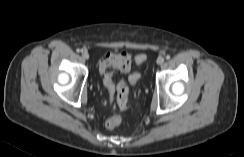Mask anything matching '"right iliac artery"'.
<instances>
[{"mask_svg":"<svg viewBox=\"0 0 244 157\" xmlns=\"http://www.w3.org/2000/svg\"><path fill=\"white\" fill-rule=\"evenodd\" d=\"M77 52L79 53V52H81V50L80 49H77Z\"/></svg>","mask_w":244,"mask_h":157,"instance_id":"right-iliac-artery-1","label":"right iliac artery"}]
</instances>
